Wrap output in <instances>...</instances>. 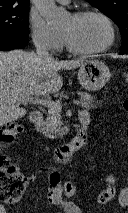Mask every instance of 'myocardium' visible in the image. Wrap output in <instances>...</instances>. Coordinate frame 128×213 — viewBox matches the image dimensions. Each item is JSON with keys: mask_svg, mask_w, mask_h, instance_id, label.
Masks as SVG:
<instances>
[{"mask_svg": "<svg viewBox=\"0 0 128 213\" xmlns=\"http://www.w3.org/2000/svg\"><path fill=\"white\" fill-rule=\"evenodd\" d=\"M86 16H97V17L101 18L107 24L109 31H110V37H109L108 42L106 43V45H104L103 47H101L99 49L86 50V49H81V48L77 47L72 42V40L70 39V37L67 34L62 33L66 48L68 49V51H70L73 54L84 55V56L100 54V53L106 52L114 45V43L116 41V37H117L116 26H115L113 20L105 13H103L99 10H92V9L77 11L72 14L71 18L74 20H79Z\"/></svg>", "mask_w": 128, "mask_h": 213, "instance_id": "f54148a6", "label": "myocardium"}]
</instances>
